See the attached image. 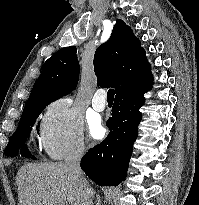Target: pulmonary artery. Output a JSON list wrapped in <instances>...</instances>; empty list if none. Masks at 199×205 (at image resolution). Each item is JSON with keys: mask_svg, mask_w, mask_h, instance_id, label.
Listing matches in <instances>:
<instances>
[{"mask_svg": "<svg viewBox=\"0 0 199 205\" xmlns=\"http://www.w3.org/2000/svg\"><path fill=\"white\" fill-rule=\"evenodd\" d=\"M106 98L104 94V90H97L92 98V107L94 110L101 112L106 108Z\"/></svg>", "mask_w": 199, "mask_h": 205, "instance_id": "e3ab8cb5", "label": "pulmonary artery"}]
</instances>
